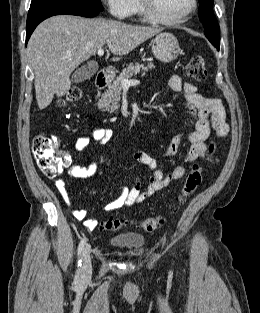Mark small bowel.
I'll return each mask as SVG.
<instances>
[{
    "instance_id": "1",
    "label": "small bowel",
    "mask_w": 260,
    "mask_h": 313,
    "mask_svg": "<svg viewBox=\"0 0 260 313\" xmlns=\"http://www.w3.org/2000/svg\"><path fill=\"white\" fill-rule=\"evenodd\" d=\"M168 86L175 92H182L186 107L194 120V130L188 134L175 137L166 148L165 156H171L176 153L182 144H187L188 151L185 155V162L190 163L198 158L206 157L205 140L210 135L211 130L220 138H225L229 132V126L226 123V112L222 101L218 98L205 97L197 93L195 85L183 82L178 75L169 78ZM92 122V135L95 141L100 145H105L112 137L113 131L97 124L94 117H90ZM89 143V138L85 135L77 138L74 144L76 152L83 151ZM132 158L137 163L145 166L150 172V182L145 189L141 188L139 180H134L132 186L123 188L121 194L114 200L106 204L107 211H113L122 207L141 203L153 196L156 192L168 187L172 182L181 179L186 172V167L177 165L173 170L165 175L157 168L156 160L144 151H135ZM67 172L73 179H85L96 174L98 163L93 160L88 165H79L72 161L68 156ZM56 188L63 201L71 207L73 217L82 221L89 230H94L98 222L95 219L87 218V211L72 207L70 196L63 180L55 182Z\"/></svg>"
}]
</instances>
